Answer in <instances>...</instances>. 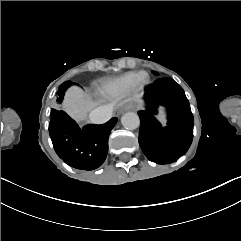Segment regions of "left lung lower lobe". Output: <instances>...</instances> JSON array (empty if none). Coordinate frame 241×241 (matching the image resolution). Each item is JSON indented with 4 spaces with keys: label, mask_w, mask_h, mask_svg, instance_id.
Segmentation results:
<instances>
[{
    "label": "left lung lower lobe",
    "mask_w": 241,
    "mask_h": 241,
    "mask_svg": "<svg viewBox=\"0 0 241 241\" xmlns=\"http://www.w3.org/2000/svg\"><path fill=\"white\" fill-rule=\"evenodd\" d=\"M144 99L146 110L138 112L139 145L149 160L172 163L185 154L192 142L194 122L189 101L182 87L171 78L158 79L148 85ZM160 105L165 106L168 113L165 127L154 117Z\"/></svg>",
    "instance_id": "obj_1"
}]
</instances>
